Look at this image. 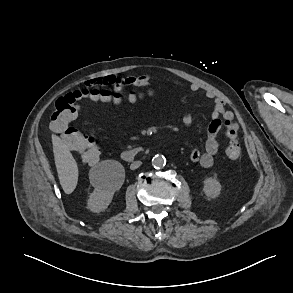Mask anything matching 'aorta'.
<instances>
[{
    "mask_svg": "<svg viewBox=\"0 0 293 293\" xmlns=\"http://www.w3.org/2000/svg\"><path fill=\"white\" fill-rule=\"evenodd\" d=\"M166 164V158L163 155H155L152 158V166L156 169L163 168Z\"/></svg>",
    "mask_w": 293,
    "mask_h": 293,
    "instance_id": "762f6f07",
    "label": "aorta"
}]
</instances>
